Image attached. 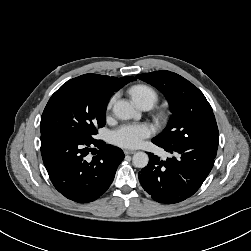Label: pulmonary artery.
Segmentation results:
<instances>
[{"mask_svg": "<svg viewBox=\"0 0 251 251\" xmlns=\"http://www.w3.org/2000/svg\"><path fill=\"white\" fill-rule=\"evenodd\" d=\"M137 105L142 110H149L153 106L150 102H141V103H138Z\"/></svg>", "mask_w": 251, "mask_h": 251, "instance_id": "1", "label": "pulmonary artery"}]
</instances>
